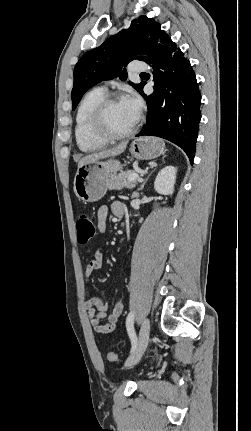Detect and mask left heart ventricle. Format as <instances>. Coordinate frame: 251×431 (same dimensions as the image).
Wrapping results in <instances>:
<instances>
[{
	"label": "left heart ventricle",
	"mask_w": 251,
	"mask_h": 431,
	"mask_svg": "<svg viewBox=\"0 0 251 431\" xmlns=\"http://www.w3.org/2000/svg\"><path fill=\"white\" fill-rule=\"evenodd\" d=\"M136 115L121 101L111 104L106 111L107 127L115 133L129 130L135 123Z\"/></svg>",
	"instance_id": "obj_1"
}]
</instances>
